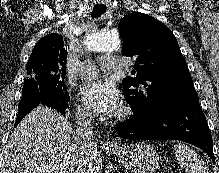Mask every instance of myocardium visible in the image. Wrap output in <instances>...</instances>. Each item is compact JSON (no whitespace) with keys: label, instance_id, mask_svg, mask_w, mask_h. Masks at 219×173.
I'll return each instance as SVG.
<instances>
[{"label":"myocardium","instance_id":"1","mask_svg":"<svg viewBox=\"0 0 219 173\" xmlns=\"http://www.w3.org/2000/svg\"><path fill=\"white\" fill-rule=\"evenodd\" d=\"M131 111L129 107H123L117 114L116 118L118 120H124L130 115Z\"/></svg>","mask_w":219,"mask_h":173}]
</instances>
